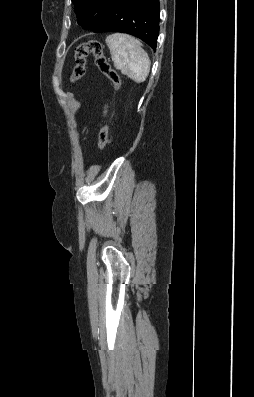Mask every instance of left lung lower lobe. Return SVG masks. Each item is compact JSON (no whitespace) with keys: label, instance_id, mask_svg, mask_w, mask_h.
Segmentation results:
<instances>
[{"label":"left lung lower lobe","instance_id":"1","mask_svg":"<svg viewBox=\"0 0 254 397\" xmlns=\"http://www.w3.org/2000/svg\"><path fill=\"white\" fill-rule=\"evenodd\" d=\"M93 32L132 34L155 50L159 34V0H107L103 20Z\"/></svg>","mask_w":254,"mask_h":397}]
</instances>
